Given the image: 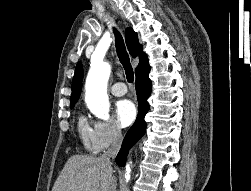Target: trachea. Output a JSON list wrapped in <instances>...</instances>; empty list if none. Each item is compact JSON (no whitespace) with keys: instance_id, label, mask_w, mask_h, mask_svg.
Returning <instances> with one entry per match:
<instances>
[{"instance_id":"1","label":"trachea","mask_w":251,"mask_h":191,"mask_svg":"<svg viewBox=\"0 0 251 191\" xmlns=\"http://www.w3.org/2000/svg\"><path fill=\"white\" fill-rule=\"evenodd\" d=\"M113 33L115 35L116 52H117L120 62L122 63L124 67L127 81L129 83H133V80H134L133 68L130 63L129 55L126 50L124 40L121 34L118 32V30L115 27H113Z\"/></svg>"}]
</instances>
